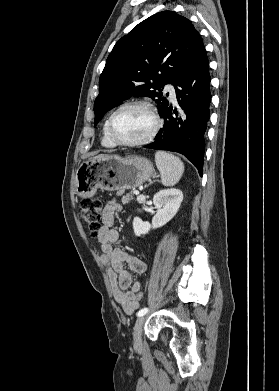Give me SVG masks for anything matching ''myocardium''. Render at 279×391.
<instances>
[{
    "label": "myocardium",
    "instance_id": "f54148a6",
    "mask_svg": "<svg viewBox=\"0 0 279 391\" xmlns=\"http://www.w3.org/2000/svg\"><path fill=\"white\" fill-rule=\"evenodd\" d=\"M129 107H139L148 111L153 119V127L151 131L142 139L135 140V141H121L118 138H116V136L113 133V121L118 112ZM161 126H162V121L151 103L143 100H133V101L123 103L110 114L107 122V135L109 139L116 146L137 147V146H142L150 143L158 134Z\"/></svg>",
    "mask_w": 279,
    "mask_h": 391
}]
</instances>
